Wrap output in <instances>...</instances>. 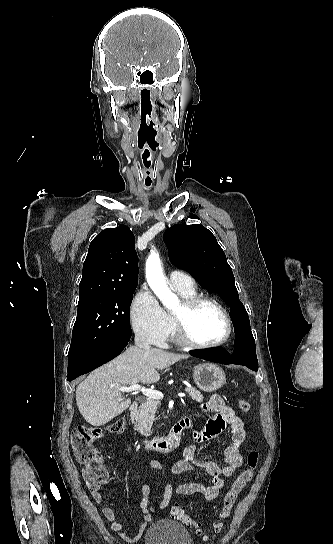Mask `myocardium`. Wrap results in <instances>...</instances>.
Segmentation results:
<instances>
[{
	"label": "myocardium",
	"mask_w": 333,
	"mask_h": 544,
	"mask_svg": "<svg viewBox=\"0 0 333 544\" xmlns=\"http://www.w3.org/2000/svg\"><path fill=\"white\" fill-rule=\"evenodd\" d=\"M206 303L216 305L222 312L226 322V333L224 337L213 343L197 342L192 337L188 327V318L192 316L199 307ZM173 320L178 340L182 344L194 349H212L222 346L228 342L233 331L232 319L224 303L218 298L208 295H195L193 297L183 299L180 312L173 313Z\"/></svg>",
	"instance_id": "1"
}]
</instances>
